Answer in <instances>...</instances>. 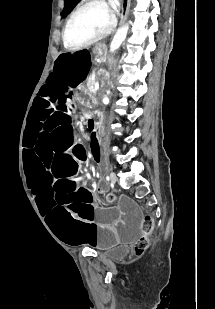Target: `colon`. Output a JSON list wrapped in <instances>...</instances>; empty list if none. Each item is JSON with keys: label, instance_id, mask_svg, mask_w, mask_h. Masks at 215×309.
<instances>
[{"label": "colon", "instance_id": "1", "mask_svg": "<svg viewBox=\"0 0 215 309\" xmlns=\"http://www.w3.org/2000/svg\"><path fill=\"white\" fill-rule=\"evenodd\" d=\"M108 200L111 204L114 203L115 196L112 194L108 195ZM142 227L145 232V235H143L139 240L135 242L134 250L136 251V253L138 252L143 253L148 247L147 235L152 231L154 227V222L149 215L145 216V218L143 219Z\"/></svg>", "mask_w": 215, "mask_h": 309}]
</instances>
